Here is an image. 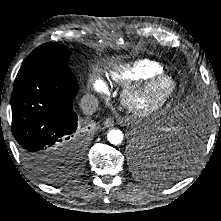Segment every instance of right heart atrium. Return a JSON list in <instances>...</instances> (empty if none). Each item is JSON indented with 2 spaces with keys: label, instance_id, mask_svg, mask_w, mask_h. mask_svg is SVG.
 <instances>
[{
  "label": "right heart atrium",
  "instance_id": "right-heart-atrium-1",
  "mask_svg": "<svg viewBox=\"0 0 221 221\" xmlns=\"http://www.w3.org/2000/svg\"><path fill=\"white\" fill-rule=\"evenodd\" d=\"M94 88H95L97 91H104V90H105V85H104V83H103L101 80H97V81L94 83Z\"/></svg>",
  "mask_w": 221,
  "mask_h": 221
}]
</instances>
